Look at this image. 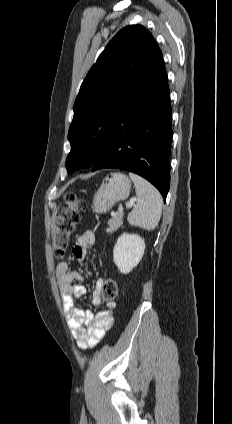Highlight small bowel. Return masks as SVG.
<instances>
[{"label": "small bowel", "mask_w": 232, "mask_h": 424, "mask_svg": "<svg viewBox=\"0 0 232 424\" xmlns=\"http://www.w3.org/2000/svg\"><path fill=\"white\" fill-rule=\"evenodd\" d=\"M94 243L95 239L91 233L80 235L72 249L73 257L79 262L84 261L88 250L93 247ZM83 278L79 271L70 270L67 262H60L56 267V282L67 324L77 347L86 350L98 345L105 333L112 327L114 318L112 304L95 314L76 306V300L82 298L87 292L84 285L76 283L82 281ZM103 281L102 278L96 280L95 289L91 295L93 305L99 306L102 303L100 290Z\"/></svg>", "instance_id": "1"}]
</instances>
